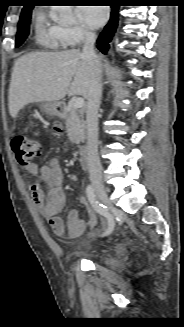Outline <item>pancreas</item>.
Listing matches in <instances>:
<instances>
[{
	"label": "pancreas",
	"mask_w": 184,
	"mask_h": 327,
	"mask_svg": "<svg viewBox=\"0 0 184 327\" xmlns=\"http://www.w3.org/2000/svg\"><path fill=\"white\" fill-rule=\"evenodd\" d=\"M66 127L68 131V137L71 142L79 144L85 138V123L81 119L80 112L71 107L68 110L66 117Z\"/></svg>",
	"instance_id": "cf45deb5"
}]
</instances>
